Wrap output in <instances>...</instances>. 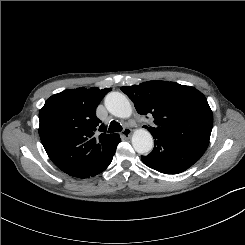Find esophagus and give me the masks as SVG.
I'll list each match as a JSON object with an SVG mask.
<instances>
[{
  "mask_svg": "<svg viewBox=\"0 0 245 245\" xmlns=\"http://www.w3.org/2000/svg\"><path fill=\"white\" fill-rule=\"evenodd\" d=\"M132 135V130L130 128H124L122 131V136L125 138H129Z\"/></svg>",
  "mask_w": 245,
  "mask_h": 245,
  "instance_id": "esophagus-1",
  "label": "esophagus"
}]
</instances>
